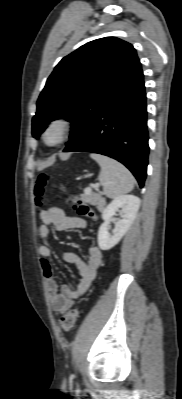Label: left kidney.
Listing matches in <instances>:
<instances>
[{
	"mask_svg": "<svg viewBox=\"0 0 182 399\" xmlns=\"http://www.w3.org/2000/svg\"><path fill=\"white\" fill-rule=\"evenodd\" d=\"M139 206L140 199L134 195H120L106 206L102 212L104 222L98 232V245L101 250H109L118 244L133 223ZM118 211L120 219L115 222L114 229L109 233V224Z\"/></svg>",
	"mask_w": 182,
	"mask_h": 399,
	"instance_id": "left-kidney-1",
	"label": "left kidney"
}]
</instances>
